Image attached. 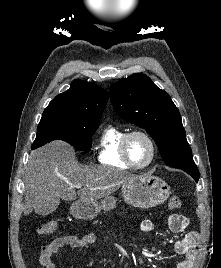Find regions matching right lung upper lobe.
<instances>
[{"label":"right lung upper lobe","mask_w":221,"mask_h":268,"mask_svg":"<svg viewBox=\"0 0 221 268\" xmlns=\"http://www.w3.org/2000/svg\"><path fill=\"white\" fill-rule=\"evenodd\" d=\"M107 101V91L96 84L78 79L71 83L70 89L57 95L44 112H60L99 121Z\"/></svg>","instance_id":"cb5924a9"}]
</instances>
